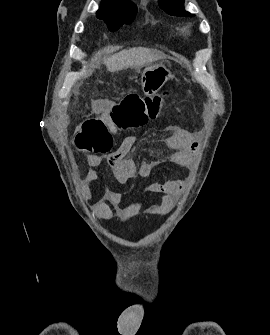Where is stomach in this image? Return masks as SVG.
<instances>
[{"mask_svg": "<svg viewBox=\"0 0 270 335\" xmlns=\"http://www.w3.org/2000/svg\"><path fill=\"white\" fill-rule=\"evenodd\" d=\"M169 78H172V76L163 64L145 66L140 78V86L144 96L152 98Z\"/></svg>", "mask_w": 270, "mask_h": 335, "instance_id": "stomach-1", "label": "stomach"}]
</instances>
